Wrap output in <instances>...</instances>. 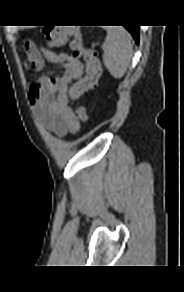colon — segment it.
I'll return each instance as SVG.
<instances>
[{"label": "colon", "mask_w": 184, "mask_h": 292, "mask_svg": "<svg viewBox=\"0 0 184 292\" xmlns=\"http://www.w3.org/2000/svg\"><path fill=\"white\" fill-rule=\"evenodd\" d=\"M47 43L52 48L64 46L68 42L74 58L85 62V75L69 89L71 102H76L84 93L96 88L101 75V64L94 49L84 46L78 25L55 26L44 29ZM75 116L82 122L89 120V114L84 107L75 110Z\"/></svg>", "instance_id": "5ec220e1"}]
</instances>
